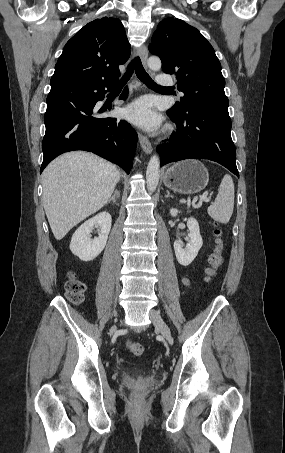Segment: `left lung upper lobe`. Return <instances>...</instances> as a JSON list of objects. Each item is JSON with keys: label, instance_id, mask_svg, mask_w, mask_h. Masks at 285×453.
Masks as SVG:
<instances>
[{"label": "left lung upper lobe", "instance_id": "5c2ea615", "mask_svg": "<svg viewBox=\"0 0 285 453\" xmlns=\"http://www.w3.org/2000/svg\"><path fill=\"white\" fill-rule=\"evenodd\" d=\"M151 41L149 51L160 57L165 73L176 76L178 90L184 93L172 109L204 106L228 110L221 64L196 28L168 17L159 23Z\"/></svg>", "mask_w": 285, "mask_h": 453}]
</instances>
